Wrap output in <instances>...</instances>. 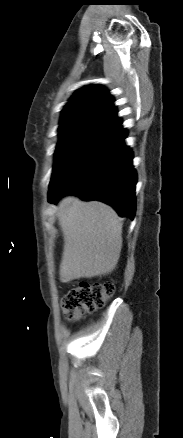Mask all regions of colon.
<instances>
[{
  "label": "colon",
  "instance_id": "5ec220e1",
  "mask_svg": "<svg viewBox=\"0 0 183 438\" xmlns=\"http://www.w3.org/2000/svg\"><path fill=\"white\" fill-rule=\"evenodd\" d=\"M112 282H80L71 288L63 298V312L70 321L80 319L85 313L101 308L114 294Z\"/></svg>",
  "mask_w": 183,
  "mask_h": 438
}]
</instances>
